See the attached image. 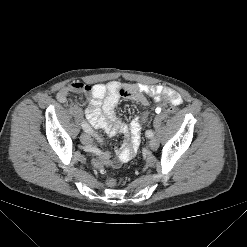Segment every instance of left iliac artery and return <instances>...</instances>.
<instances>
[{
    "mask_svg": "<svg viewBox=\"0 0 247 247\" xmlns=\"http://www.w3.org/2000/svg\"><path fill=\"white\" fill-rule=\"evenodd\" d=\"M146 137L152 138L154 136V133L151 130H147L145 133Z\"/></svg>",
    "mask_w": 247,
    "mask_h": 247,
    "instance_id": "obj_1",
    "label": "left iliac artery"
}]
</instances>
